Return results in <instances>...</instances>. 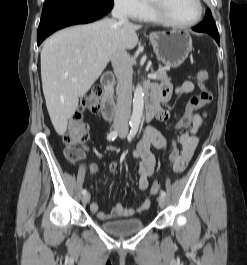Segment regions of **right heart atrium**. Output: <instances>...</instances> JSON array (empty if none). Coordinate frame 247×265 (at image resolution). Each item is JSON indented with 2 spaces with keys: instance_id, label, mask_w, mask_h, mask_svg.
<instances>
[{
  "instance_id": "1",
  "label": "right heart atrium",
  "mask_w": 247,
  "mask_h": 265,
  "mask_svg": "<svg viewBox=\"0 0 247 265\" xmlns=\"http://www.w3.org/2000/svg\"><path fill=\"white\" fill-rule=\"evenodd\" d=\"M116 9L131 19H139L146 10L145 0H114Z\"/></svg>"
}]
</instances>
